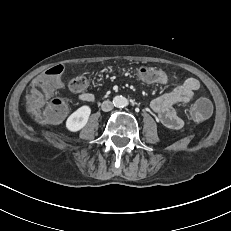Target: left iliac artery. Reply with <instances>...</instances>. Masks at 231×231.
<instances>
[{
  "label": "left iliac artery",
  "instance_id": "left-iliac-artery-1",
  "mask_svg": "<svg viewBox=\"0 0 231 231\" xmlns=\"http://www.w3.org/2000/svg\"><path fill=\"white\" fill-rule=\"evenodd\" d=\"M125 105H128V102H127V101L125 102Z\"/></svg>",
  "mask_w": 231,
  "mask_h": 231
}]
</instances>
